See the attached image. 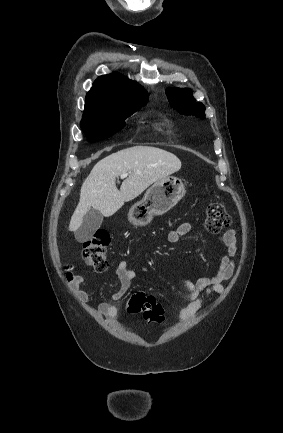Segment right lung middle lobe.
Listing matches in <instances>:
<instances>
[{
	"instance_id": "dd1d6c3e",
	"label": "right lung middle lobe",
	"mask_w": 283,
	"mask_h": 433,
	"mask_svg": "<svg viewBox=\"0 0 283 433\" xmlns=\"http://www.w3.org/2000/svg\"><path fill=\"white\" fill-rule=\"evenodd\" d=\"M141 107L84 112L80 126L90 142L112 136L123 125L124 120Z\"/></svg>"
}]
</instances>
